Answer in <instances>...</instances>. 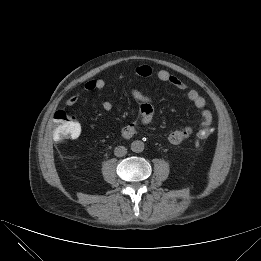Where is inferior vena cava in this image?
Segmentation results:
<instances>
[{
  "label": "inferior vena cava",
  "instance_id": "obj_1",
  "mask_svg": "<svg viewBox=\"0 0 261 261\" xmlns=\"http://www.w3.org/2000/svg\"><path fill=\"white\" fill-rule=\"evenodd\" d=\"M114 154L117 157H122L127 154V149L124 146H117L114 150Z\"/></svg>",
  "mask_w": 261,
  "mask_h": 261
}]
</instances>
